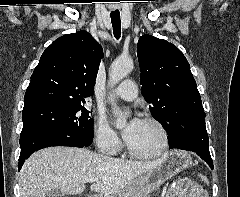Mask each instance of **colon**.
Returning <instances> with one entry per match:
<instances>
[{"label": "colon", "instance_id": "obj_1", "mask_svg": "<svg viewBox=\"0 0 240 197\" xmlns=\"http://www.w3.org/2000/svg\"><path fill=\"white\" fill-rule=\"evenodd\" d=\"M198 178H199L202 182H204V183H207V182H208L207 176H206L205 174H203V173H199V174H198Z\"/></svg>", "mask_w": 240, "mask_h": 197}]
</instances>
